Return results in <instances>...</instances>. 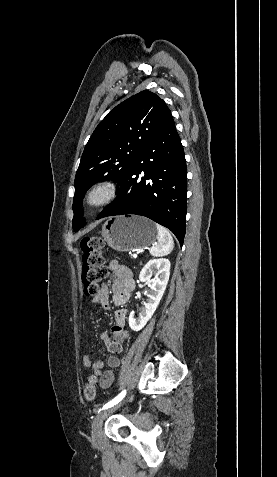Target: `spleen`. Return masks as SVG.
I'll use <instances>...</instances> for the list:
<instances>
[{
    "mask_svg": "<svg viewBox=\"0 0 277 477\" xmlns=\"http://www.w3.org/2000/svg\"><path fill=\"white\" fill-rule=\"evenodd\" d=\"M158 231V242L151 247L150 254L154 257H161L170 254L174 248V242L169 231L163 226L156 224Z\"/></svg>",
    "mask_w": 277,
    "mask_h": 477,
    "instance_id": "obj_1",
    "label": "spleen"
}]
</instances>
